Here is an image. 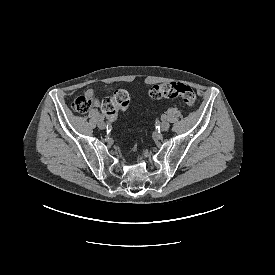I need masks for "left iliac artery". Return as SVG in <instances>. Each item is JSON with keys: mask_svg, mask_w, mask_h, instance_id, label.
Returning <instances> with one entry per match:
<instances>
[{"mask_svg": "<svg viewBox=\"0 0 275 275\" xmlns=\"http://www.w3.org/2000/svg\"><path fill=\"white\" fill-rule=\"evenodd\" d=\"M163 120H166L167 116L165 114L162 115L161 117Z\"/></svg>", "mask_w": 275, "mask_h": 275, "instance_id": "44dca946", "label": "left iliac artery"}]
</instances>
